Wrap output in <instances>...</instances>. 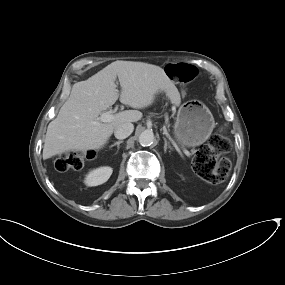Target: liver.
Wrapping results in <instances>:
<instances>
[{
	"mask_svg": "<svg viewBox=\"0 0 285 285\" xmlns=\"http://www.w3.org/2000/svg\"><path fill=\"white\" fill-rule=\"evenodd\" d=\"M117 77L121 86L120 102L132 108L150 106L159 92H165L172 104L179 106L181 103L178 89L161 67L143 62H112L87 80L72 86L69 98L48 125L43 159L68 151L100 149L116 126L142 118L138 110H125L111 122L98 121L99 114L119 98L115 84Z\"/></svg>",
	"mask_w": 285,
	"mask_h": 285,
	"instance_id": "liver-1",
	"label": "liver"
}]
</instances>
